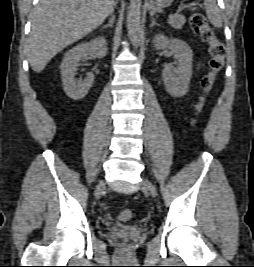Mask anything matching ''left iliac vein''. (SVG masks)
<instances>
[{
    "instance_id": "obj_1",
    "label": "left iliac vein",
    "mask_w": 254,
    "mask_h": 267,
    "mask_svg": "<svg viewBox=\"0 0 254 267\" xmlns=\"http://www.w3.org/2000/svg\"><path fill=\"white\" fill-rule=\"evenodd\" d=\"M142 186L150 193L152 197L156 196V189L151 182H149L148 180H144Z\"/></svg>"
}]
</instances>
